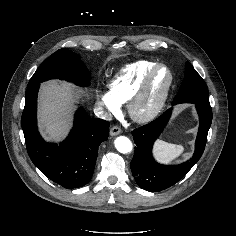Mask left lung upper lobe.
Listing matches in <instances>:
<instances>
[{"mask_svg":"<svg viewBox=\"0 0 236 236\" xmlns=\"http://www.w3.org/2000/svg\"><path fill=\"white\" fill-rule=\"evenodd\" d=\"M184 75L185 78L173 102L210 106L207 86L189 62H186Z\"/></svg>","mask_w":236,"mask_h":236,"instance_id":"1","label":"left lung upper lobe"}]
</instances>
